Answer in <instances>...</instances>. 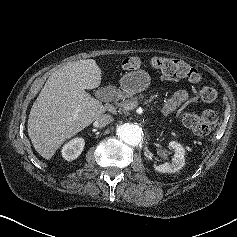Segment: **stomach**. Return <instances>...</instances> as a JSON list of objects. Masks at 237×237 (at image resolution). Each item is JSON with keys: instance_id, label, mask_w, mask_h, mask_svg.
<instances>
[{"instance_id": "stomach-1", "label": "stomach", "mask_w": 237, "mask_h": 237, "mask_svg": "<svg viewBox=\"0 0 237 237\" xmlns=\"http://www.w3.org/2000/svg\"><path fill=\"white\" fill-rule=\"evenodd\" d=\"M149 83L150 77L144 70L131 71L120 80L121 89L126 96H132L144 91L149 86Z\"/></svg>"}]
</instances>
